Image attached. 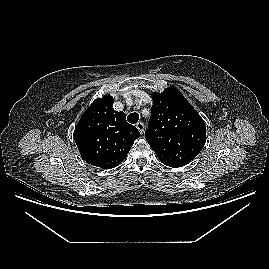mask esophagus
<instances>
[{
    "label": "esophagus",
    "mask_w": 269,
    "mask_h": 269,
    "mask_svg": "<svg viewBox=\"0 0 269 269\" xmlns=\"http://www.w3.org/2000/svg\"><path fill=\"white\" fill-rule=\"evenodd\" d=\"M136 128L139 130V132H140L141 134H143V132H144V124H143L142 122H138V123L136 124Z\"/></svg>",
    "instance_id": "34e87169"
}]
</instances>
